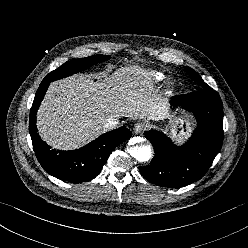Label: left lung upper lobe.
I'll return each instance as SVG.
<instances>
[{"mask_svg":"<svg viewBox=\"0 0 248 248\" xmlns=\"http://www.w3.org/2000/svg\"><path fill=\"white\" fill-rule=\"evenodd\" d=\"M185 71L187 72V74L191 77H193L194 79H196L197 81H199L202 85L207 86V84L201 79V77L190 67H185Z\"/></svg>","mask_w":248,"mask_h":248,"instance_id":"obj_1","label":"left lung upper lobe"}]
</instances>
